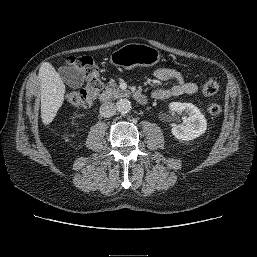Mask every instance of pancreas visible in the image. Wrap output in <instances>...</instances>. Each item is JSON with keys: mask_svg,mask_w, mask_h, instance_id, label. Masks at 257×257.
<instances>
[{"mask_svg": "<svg viewBox=\"0 0 257 257\" xmlns=\"http://www.w3.org/2000/svg\"><path fill=\"white\" fill-rule=\"evenodd\" d=\"M104 95L107 98H119L125 96L126 94L115 83H109L106 86Z\"/></svg>", "mask_w": 257, "mask_h": 257, "instance_id": "1", "label": "pancreas"}]
</instances>
